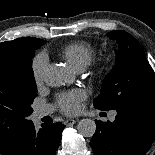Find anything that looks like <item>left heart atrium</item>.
Masks as SVG:
<instances>
[{
  "instance_id": "1",
  "label": "left heart atrium",
  "mask_w": 155,
  "mask_h": 155,
  "mask_svg": "<svg viewBox=\"0 0 155 155\" xmlns=\"http://www.w3.org/2000/svg\"><path fill=\"white\" fill-rule=\"evenodd\" d=\"M84 97V92L80 90L64 93L58 96V104L65 114H76L80 110L79 103Z\"/></svg>"
}]
</instances>
